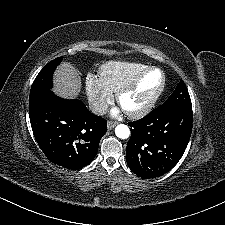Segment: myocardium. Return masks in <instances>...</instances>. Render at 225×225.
Instances as JSON below:
<instances>
[{"instance_id": "1", "label": "myocardium", "mask_w": 225, "mask_h": 225, "mask_svg": "<svg viewBox=\"0 0 225 225\" xmlns=\"http://www.w3.org/2000/svg\"><path fill=\"white\" fill-rule=\"evenodd\" d=\"M150 72H158L160 74V76H161L160 86L156 90V92L153 94V96L146 102V104L142 108H140L137 111H132V112L124 110L126 115L132 119L143 118L148 113H150V111L154 108L155 104L157 103V101L159 100V98L161 97L162 93L165 90L166 77H165L164 72L160 68L155 67V66L146 67L142 72H140L136 76V78L132 82H130L128 85L124 86L116 94L117 102L121 106V102H122L123 98L126 95L135 92L139 88V86H140L142 80L145 78V76Z\"/></svg>"}]
</instances>
